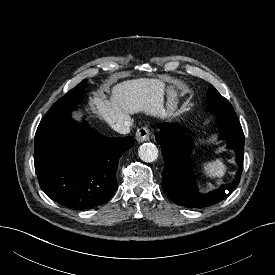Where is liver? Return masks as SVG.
Instances as JSON below:
<instances>
[{"mask_svg":"<svg viewBox=\"0 0 275 275\" xmlns=\"http://www.w3.org/2000/svg\"><path fill=\"white\" fill-rule=\"evenodd\" d=\"M165 90L161 80L139 78L116 84L110 100L104 95L93 99L98 115L109 125L125 120L129 115L143 112L146 115L165 118Z\"/></svg>","mask_w":275,"mask_h":275,"instance_id":"liver-1","label":"liver"}]
</instances>
